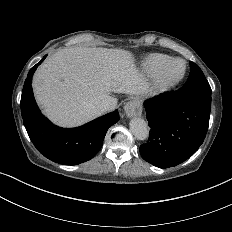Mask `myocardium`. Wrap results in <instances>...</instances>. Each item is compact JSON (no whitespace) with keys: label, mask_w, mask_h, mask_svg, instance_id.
<instances>
[{"label":"myocardium","mask_w":232,"mask_h":232,"mask_svg":"<svg viewBox=\"0 0 232 232\" xmlns=\"http://www.w3.org/2000/svg\"><path fill=\"white\" fill-rule=\"evenodd\" d=\"M182 63L183 70L179 74L174 73L176 64ZM187 72V63L184 60L174 59L158 74H156L147 87L146 95L152 98H159L177 85Z\"/></svg>","instance_id":"1"}]
</instances>
